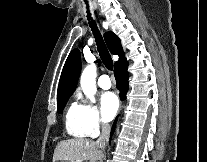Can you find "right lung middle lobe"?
Masks as SVG:
<instances>
[{"label": "right lung middle lobe", "instance_id": "obj_1", "mask_svg": "<svg viewBox=\"0 0 207 162\" xmlns=\"http://www.w3.org/2000/svg\"><path fill=\"white\" fill-rule=\"evenodd\" d=\"M69 97L70 96L64 97V98H61V99L57 100L58 113H62V110L64 109Z\"/></svg>", "mask_w": 207, "mask_h": 162}]
</instances>
